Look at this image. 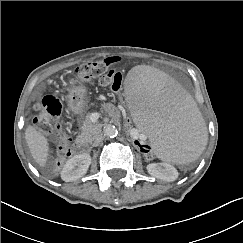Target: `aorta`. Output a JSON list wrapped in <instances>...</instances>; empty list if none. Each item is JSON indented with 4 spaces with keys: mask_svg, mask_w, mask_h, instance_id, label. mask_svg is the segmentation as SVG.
I'll return each mask as SVG.
<instances>
[{
    "mask_svg": "<svg viewBox=\"0 0 243 243\" xmlns=\"http://www.w3.org/2000/svg\"><path fill=\"white\" fill-rule=\"evenodd\" d=\"M118 134V130L114 125H107L104 128V135L109 138H114Z\"/></svg>",
    "mask_w": 243,
    "mask_h": 243,
    "instance_id": "1",
    "label": "aorta"
}]
</instances>
